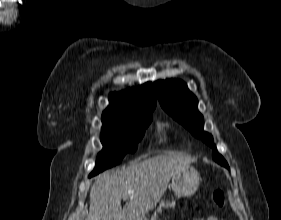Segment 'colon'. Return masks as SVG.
Here are the masks:
<instances>
[{
    "label": "colon",
    "instance_id": "colon-1",
    "mask_svg": "<svg viewBox=\"0 0 281 220\" xmlns=\"http://www.w3.org/2000/svg\"><path fill=\"white\" fill-rule=\"evenodd\" d=\"M212 201L217 207H222L225 203L224 193L217 189L212 194Z\"/></svg>",
    "mask_w": 281,
    "mask_h": 220
}]
</instances>
